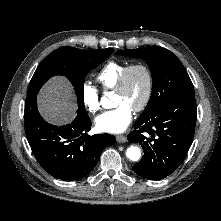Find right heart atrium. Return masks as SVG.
Returning <instances> with one entry per match:
<instances>
[{
    "instance_id": "1",
    "label": "right heart atrium",
    "mask_w": 221,
    "mask_h": 221,
    "mask_svg": "<svg viewBox=\"0 0 221 221\" xmlns=\"http://www.w3.org/2000/svg\"><path fill=\"white\" fill-rule=\"evenodd\" d=\"M81 100L85 109L90 113H96L100 108V95L98 89L90 82L81 85Z\"/></svg>"
}]
</instances>
